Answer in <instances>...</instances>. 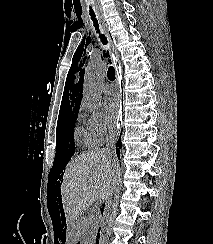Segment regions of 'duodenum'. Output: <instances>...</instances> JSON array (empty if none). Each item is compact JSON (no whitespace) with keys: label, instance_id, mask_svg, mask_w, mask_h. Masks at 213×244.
Instances as JSON below:
<instances>
[{"label":"duodenum","instance_id":"obj_1","mask_svg":"<svg viewBox=\"0 0 213 244\" xmlns=\"http://www.w3.org/2000/svg\"><path fill=\"white\" fill-rule=\"evenodd\" d=\"M100 218H101V220L105 219L104 212L101 213ZM102 236H103V230H102V228H99L94 237V244H102Z\"/></svg>","mask_w":213,"mask_h":244}]
</instances>
